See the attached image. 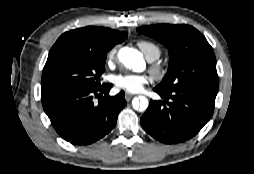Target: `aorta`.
Segmentation results:
<instances>
[{
    "label": "aorta",
    "instance_id": "obj_1",
    "mask_svg": "<svg viewBox=\"0 0 254 174\" xmlns=\"http://www.w3.org/2000/svg\"><path fill=\"white\" fill-rule=\"evenodd\" d=\"M119 60L129 69L138 70L143 63V58L140 52L132 48H122L118 52ZM135 110L144 111L148 108L149 102L146 97L140 96L132 101Z\"/></svg>",
    "mask_w": 254,
    "mask_h": 174
}]
</instances>
